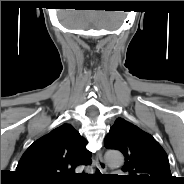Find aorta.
Listing matches in <instances>:
<instances>
[{"instance_id":"1","label":"aorta","mask_w":184,"mask_h":184,"mask_svg":"<svg viewBox=\"0 0 184 184\" xmlns=\"http://www.w3.org/2000/svg\"><path fill=\"white\" fill-rule=\"evenodd\" d=\"M106 162L110 167H120L124 163V157L119 151H107L105 154Z\"/></svg>"}]
</instances>
